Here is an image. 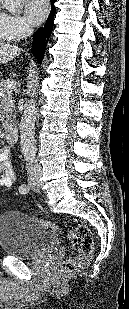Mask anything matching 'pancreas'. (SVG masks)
<instances>
[{"instance_id":"pancreas-1","label":"pancreas","mask_w":129,"mask_h":309,"mask_svg":"<svg viewBox=\"0 0 129 309\" xmlns=\"http://www.w3.org/2000/svg\"><path fill=\"white\" fill-rule=\"evenodd\" d=\"M7 80L0 79V93H2V97L0 96V101L2 102L4 97L9 96L12 93V89H7L4 84ZM13 110L10 108L4 107L3 104H0V121L3 127H6L8 123L11 121Z\"/></svg>"}]
</instances>
